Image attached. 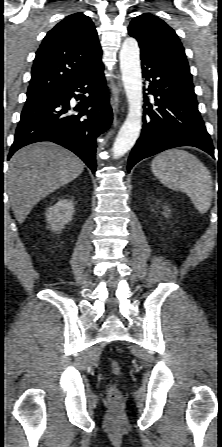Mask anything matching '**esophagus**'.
<instances>
[{"instance_id":"esophagus-1","label":"esophagus","mask_w":222,"mask_h":447,"mask_svg":"<svg viewBox=\"0 0 222 447\" xmlns=\"http://www.w3.org/2000/svg\"><path fill=\"white\" fill-rule=\"evenodd\" d=\"M111 105H112V108L115 110V108H116V98L114 96L111 99Z\"/></svg>"}]
</instances>
